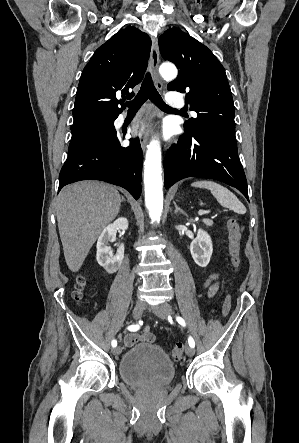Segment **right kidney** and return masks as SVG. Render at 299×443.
<instances>
[{"label": "right kidney", "mask_w": 299, "mask_h": 443, "mask_svg": "<svg viewBox=\"0 0 299 443\" xmlns=\"http://www.w3.org/2000/svg\"><path fill=\"white\" fill-rule=\"evenodd\" d=\"M128 228V220L124 217L118 218L114 223L108 225L100 234L97 241L96 259L108 273H115L121 266L124 259V244H120L115 256H110V246L108 242H112L116 238L117 230L125 231Z\"/></svg>", "instance_id": "ca27d5eb"}]
</instances>
